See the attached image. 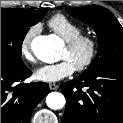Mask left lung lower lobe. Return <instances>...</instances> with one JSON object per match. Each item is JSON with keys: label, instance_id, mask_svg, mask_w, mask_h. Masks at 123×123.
Segmentation results:
<instances>
[{"label": "left lung lower lobe", "instance_id": "1", "mask_svg": "<svg viewBox=\"0 0 123 123\" xmlns=\"http://www.w3.org/2000/svg\"><path fill=\"white\" fill-rule=\"evenodd\" d=\"M62 123H123V63H109L61 84Z\"/></svg>", "mask_w": 123, "mask_h": 123}]
</instances>
